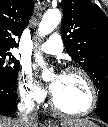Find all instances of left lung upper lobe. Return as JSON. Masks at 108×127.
I'll return each instance as SVG.
<instances>
[{"instance_id": "5c2ea615", "label": "left lung upper lobe", "mask_w": 108, "mask_h": 127, "mask_svg": "<svg viewBox=\"0 0 108 127\" xmlns=\"http://www.w3.org/2000/svg\"><path fill=\"white\" fill-rule=\"evenodd\" d=\"M61 4L64 46L99 89L98 106L108 108V18L90 0H62Z\"/></svg>"}]
</instances>
